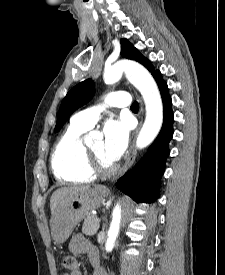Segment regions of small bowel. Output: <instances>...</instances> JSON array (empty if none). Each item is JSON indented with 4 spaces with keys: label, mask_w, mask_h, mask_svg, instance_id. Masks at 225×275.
<instances>
[{
    "label": "small bowel",
    "mask_w": 225,
    "mask_h": 275,
    "mask_svg": "<svg viewBox=\"0 0 225 275\" xmlns=\"http://www.w3.org/2000/svg\"><path fill=\"white\" fill-rule=\"evenodd\" d=\"M69 249L76 255H87L91 262L98 261L97 248L92 245L82 234L74 235L69 244ZM62 275H82L81 271L76 270L70 273H64ZM93 275H107L106 271L98 267L94 270Z\"/></svg>",
    "instance_id": "obj_1"
}]
</instances>
